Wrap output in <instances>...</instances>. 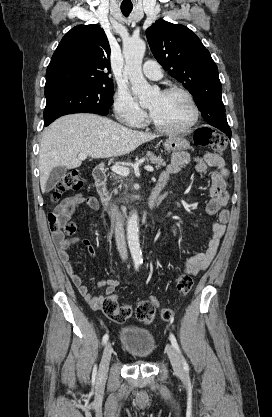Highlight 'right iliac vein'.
Returning a JSON list of instances; mask_svg holds the SVG:
<instances>
[{"instance_id": "obj_1", "label": "right iliac vein", "mask_w": 272, "mask_h": 417, "mask_svg": "<svg viewBox=\"0 0 272 417\" xmlns=\"http://www.w3.org/2000/svg\"><path fill=\"white\" fill-rule=\"evenodd\" d=\"M112 345L107 342L103 351L102 360L99 367V377L104 378L108 372L109 362L112 354Z\"/></svg>"}]
</instances>
